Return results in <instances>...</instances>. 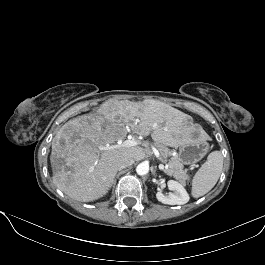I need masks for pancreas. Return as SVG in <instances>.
Wrapping results in <instances>:
<instances>
[{
  "label": "pancreas",
  "instance_id": "1",
  "mask_svg": "<svg viewBox=\"0 0 265 265\" xmlns=\"http://www.w3.org/2000/svg\"><path fill=\"white\" fill-rule=\"evenodd\" d=\"M157 148L161 154L162 159H166L167 157H171L169 162L167 163V167L163 170L167 175L173 176L175 179L179 181H185L188 176L183 169V164L180 162L178 156H173V152L169 150L164 145H157Z\"/></svg>",
  "mask_w": 265,
  "mask_h": 265
}]
</instances>
